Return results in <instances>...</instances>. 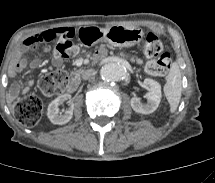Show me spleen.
I'll return each mask as SVG.
<instances>
[{
    "mask_svg": "<svg viewBox=\"0 0 215 183\" xmlns=\"http://www.w3.org/2000/svg\"><path fill=\"white\" fill-rule=\"evenodd\" d=\"M166 81L163 91L170 104V111L173 113L179 105L182 93V76L177 64L171 67Z\"/></svg>",
    "mask_w": 215,
    "mask_h": 183,
    "instance_id": "1",
    "label": "spleen"
}]
</instances>
